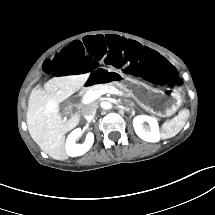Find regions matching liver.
<instances>
[{"label":"liver","mask_w":215,"mask_h":215,"mask_svg":"<svg viewBox=\"0 0 215 215\" xmlns=\"http://www.w3.org/2000/svg\"><path fill=\"white\" fill-rule=\"evenodd\" d=\"M90 74L54 77L44 84V89L34 88L27 110V127L32 139L49 156L57 160L66 157L65 134L74 129L80 120L78 113L62 119L59 103L83 87Z\"/></svg>","instance_id":"6515ba94"}]
</instances>
